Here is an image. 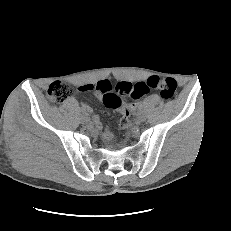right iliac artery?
Instances as JSON below:
<instances>
[{"label":"right iliac artery","instance_id":"82829eb1","mask_svg":"<svg viewBox=\"0 0 231 231\" xmlns=\"http://www.w3.org/2000/svg\"><path fill=\"white\" fill-rule=\"evenodd\" d=\"M81 111H82L83 113H86V112L88 111V108H86L85 106H83V107H81Z\"/></svg>","mask_w":231,"mask_h":231}]
</instances>
